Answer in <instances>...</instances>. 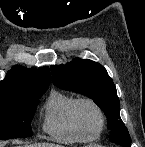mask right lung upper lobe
<instances>
[{
	"instance_id": "right-lung-upper-lobe-1",
	"label": "right lung upper lobe",
	"mask_w": 145,
	"mask_h": 147,
	"mask_svg": "<svg viewBox=\"0 0 145 147\" xmlns=\"http://www.w3.org/2000/svg\"><path fill=\"white\" fill-rule=\"evenodd\" d=\"M49 83L50 70L48 67L28 69L15 65L8 71L5 79L0 81V94L22 89L48 87Z\"/></svg>"
}]
</instances>
